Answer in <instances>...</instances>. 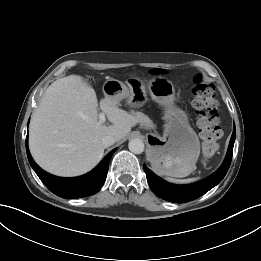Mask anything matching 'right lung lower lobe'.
Here are the masks:
<instances>
[{
  "instance_id": "98d812e1",
  "label": "right lung lower lobe",
  "mask_w": 261,
  "mask_h": 261,
  "mask_svg": "<svg viewBox=\"0 0 261 261\" xmlns=\"http://www.w3.org/2000/svg\"><path fill=\"white\" fill-rule=\"evenodd\" d=\"M26 151L30 165L51 192L65 199H75L91 196L101 189L106 180L110 159L116 149L109 152L92 171L74 178H61L42 170L31 157L27 138Z\"/></svg>"
}]
</instances>
